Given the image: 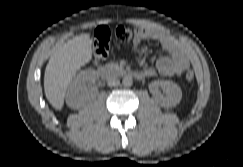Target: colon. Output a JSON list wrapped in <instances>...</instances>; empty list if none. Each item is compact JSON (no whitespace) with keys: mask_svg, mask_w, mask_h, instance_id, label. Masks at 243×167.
I'll use <instances>...</instances> for the list:
<instances>
[{"mask_svg":"<svg viewBox=\"0 0 243 167\" xmlns=\"http://www.w3.org/2000/svg\"><path fill=\"white\" fill-rule=\"evenodd\" d=\"M135 28L131 26L120 25L114 30L116 39L122 44H128L133 34L135 33ZM110 39H111V29L106 25H100L95 31L94 40V58L95 61L99 62L105 59L110 50ZM187 81H192L194 79V72L188 70L185 74Z\"/></svg>","mask_w":243,"mask_h":167,"instance_id":"colon-1","label":"colon"}]
</instances>
